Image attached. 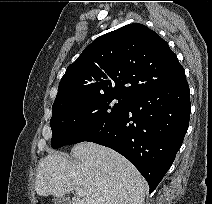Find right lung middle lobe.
<instances>
[{"label":"right lung middle lobe","mask_w":212,"mask_h":204,"mask_svg":"<svg viewBox=\"0 0 212 204\" xmlns=\"http://www.w3.org/2000/svg\"><path fill=\"white\" fill-rule=\"evenodd\" d=\"M127 103L126 96L105 95L53 109L51 146L56 149L85 141L115 122Z\"/></svg>","instance_id":"right-lung-middle-lobe-1"}]
</instances>
